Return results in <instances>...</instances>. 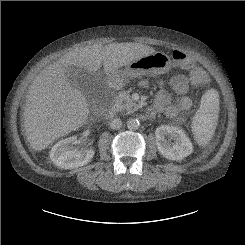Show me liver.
Instances as JSON below:
<instances>
[{"label":"liver","instance_id":"1","mask_svg":"<svg viewBox=\"0 0 245 245\" xmlns=\"http://www.w3.org/2000/svg\"><path fill=\"white\" fill-rule=\"evenodd\" d=\"M155 52L140 43H96L76 48L46 67L31 84L24 106V129L30 146L41 151L87 122L89 105L82 92L70 84L69 67L96 73L103 65L106 73H112Z\"/></svg>","mask_w":245,"mask_h":245}]
</instances>
